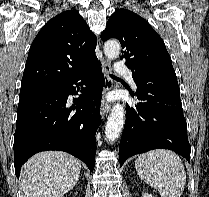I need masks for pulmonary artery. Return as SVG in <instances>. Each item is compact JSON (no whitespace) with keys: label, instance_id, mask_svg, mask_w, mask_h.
<instances>
[{"label":"pulmonary artery","instance_id":"e3ab8cb5","mask_svg":"<svg viewBox=\"0 0 209 197\" xmlns=\"http://www.w3.org/2000/svg\"><path fill=\"white\" fill-rule=\"evenodd\" d=\"M116 72L121 74V75L126 76L130 80L131 85L133 86V88H136V84H135V82H134V80L132 78L133 72H132V70L129 67H127L124 64L119 62L116 65Z\"/></svg>","mask_w":209,"mask_h":197}]
</instances>
